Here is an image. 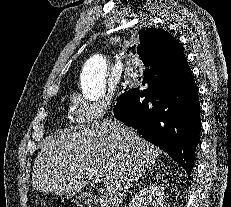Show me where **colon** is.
<instances>
[{"label":"colon","instance_id":"colon-1","mask_svg":"<svg viewBox=\"0 0 231 207\" xmlns=\"http://www.w3.org/2000/svg\"><path fill=\"white\" fill-rule=\"evenodd\" d=\"M55 207H82L79 202L70 198H61Z\"/></svg>","mask_w":231,"mask_h":207}]
</instances>
